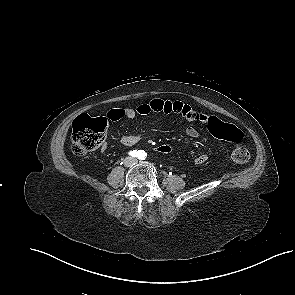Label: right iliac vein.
Instances as JSON below:
<instances>
[{
	"label": "right iliac vein",
	"instance_id": "obj_1",
	"mask_svg": "<svg viewBox=\"0 0 295 295\" xmlns=\"http://www.w3.org/2000/svg\"><path fill=\"white\" fill-rule=\"evenodd\" d=\"M125 163L126 164H130L131 163V159H126Z\"/></svg>",
	"mask_w": 295,
	"mask_h": 295
}]
</instances>
